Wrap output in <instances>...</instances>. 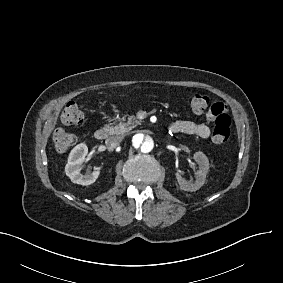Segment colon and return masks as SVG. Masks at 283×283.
<instances>
[{
  "instance_id": "obj_1",
  "label": "colon",
  "mask_w": 283,
  "mask_h": 283,
  "mask_svg": "<svg viewBox=\"0 0 283 283\" xmlns=\"http://www.w3.org/2000/svg\"><path fill=\"white\" fill-rule=\"evenodd\" d=\"M209 104V98L202 93H196L189 99V111L192 114H202L206 111ZM216 104V103H215ZM83 112L75 103L67 104L61 114V123L64 125H78L83 120ZM231 118L214 121L212 141L216 145H223L230 136ZM55 147L60 152L71 149L75 142V136L63 129L56 130L53 133Z\"/></svg>"
}]
</instances>
